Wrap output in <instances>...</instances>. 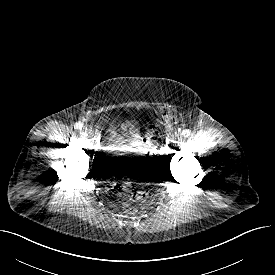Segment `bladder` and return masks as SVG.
<instances>
[{"label": "bladder", "mask_w": 275, "mask_h": 275, "mask_svg": "<svg viewBox=\"0 0 275 275\" xmlns=\"http://www.w3.org/2000/svg\"><path fill=\"white\" fill-rule=\"evenodd\" d=\"M106 164L118 176H147L153 169L154 159L148 151L146 135L138 130L120 131L116 144L108 148Z\"/></svg>", "instance_id": "obj_1"}]
</instances>
